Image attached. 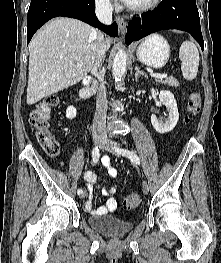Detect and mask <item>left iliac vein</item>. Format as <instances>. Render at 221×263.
Instances as JSON below:
<instances>
[{
	"mask_svg": "<svg viewBox=\"0 0 221 263\" xmlns=\"http://www.w3.org/2000/svg\"><path fill=\"white\" fill-rule=\"evenodd\" d=\"M101 148L104 149V150L111 151L112 150V145L106 138H104L103 143L101 144ZM114 148H116V147H114ZM142 190H143L144 194H148L149 186H148V183H147L146 180H144L143 183H142Z\"/></svg>",
	"mask_w": 221,
	"mask_h": 263,
	"instance_id": "obj_1",
	"label": "left iliac vein"
}]
</instances>
